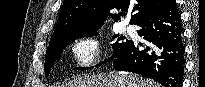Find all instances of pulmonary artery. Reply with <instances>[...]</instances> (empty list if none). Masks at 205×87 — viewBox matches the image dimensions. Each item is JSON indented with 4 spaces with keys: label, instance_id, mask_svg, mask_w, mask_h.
<instances>
[{
    "label": "pulmonary artery",
    "instance_id": "pulmonary-artery-1",
    "mask_svg": "<svg viewBox=\"0 0 205 87\" xmlns=\"http://www.w3.org/2000/svg\"><path fill=\"white\" fill-rule=\"evenodd\" d=\"M123 30L128 32V33L134 32V28L132 26H130V25L123 26Z\"/></svg>",
    "mask_w": 205,
    "mask_h": 87
}]
</instances>
